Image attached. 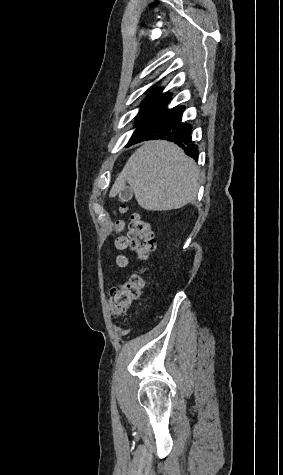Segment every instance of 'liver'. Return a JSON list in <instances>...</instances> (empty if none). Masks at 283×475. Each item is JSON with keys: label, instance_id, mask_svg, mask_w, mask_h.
<instances>
[{"label": "liver", "instance_id": "6515ba94", "mask_svg": "<svg viewBox=\"0 0 283 475\" xmlns=\"http://www.w3.org/2000/svg\"><path fill=\"white\" fill-rule=\"evenodd\" d=\"M199 170L192 158L172 142H144L126 162L109 194L115 198L128 182L144 210H177L193 202Z\"/></svg>", "mask_w": 283, "mask_h": 475}]
</instances>
